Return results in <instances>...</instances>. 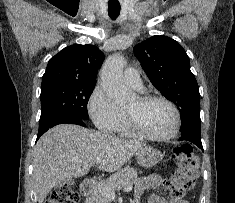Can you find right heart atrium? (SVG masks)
<instances>
[{
	"instance_id": "obj_1",
	"label": "right heart atrium",
	"mask_w": 235,
	"mask_h": 203,
	"mask_svg": "<svg viewBox=\"0 0 235 203\" xmlns=\"http://www.w3.org/2000/svg\"><path fill=\"white\" fill-rule=\"evenodd\" d=\"M87 108L95 126L105 133L115 132L124 116V111L114 103L101 85L93 89Z\"/></svg>"
}]
</instances>
